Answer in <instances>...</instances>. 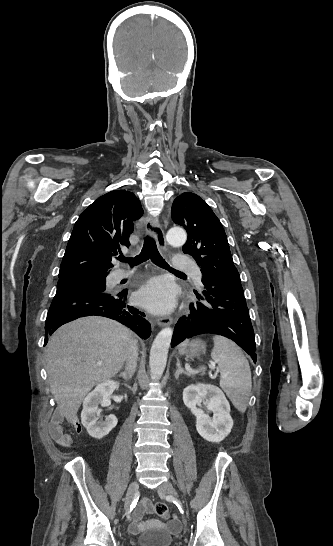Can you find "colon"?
I'll use <instances>...</instances> for the list:
<instances>
[{
    "label": "colon",
    "mask_w": 333,
    "mask_h": 546,
    "mask_svg": "<svg viewBox=\"0 0 333 546\" xmlns=\"http://www.w3.org/2000/svg\"><path fill=\"white\" fill-rule=\"evenodd\" d=\"M156 514L164 519L169 517V509L165 503L157 502L154 506Z\"/></svg>",
    "instance_id": "5ec220e1"
}]
</instances>
